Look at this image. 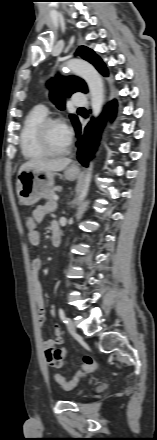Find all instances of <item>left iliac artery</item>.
Listing matches in <instances>:
<instances>
[{
	"mask_svg": "<svg viewBox=\"0 0 157 440\" xmlns=\"http://www.w3.org/2000/svg\"><path fill=\"white\" fill-rule=\"evenodd\" d=\"M59 316H60V319L64 323H67L66 315H65V312H64V310L62 308L59 309Z\"/></svg>",
	"mask_w": 157,
	"mask_h": 440,
	"instance_id": "1",
	"label": "left iliac artery"
}]
</instances>
